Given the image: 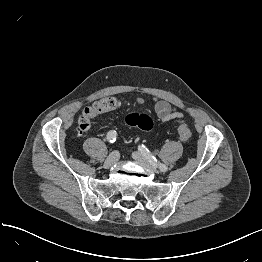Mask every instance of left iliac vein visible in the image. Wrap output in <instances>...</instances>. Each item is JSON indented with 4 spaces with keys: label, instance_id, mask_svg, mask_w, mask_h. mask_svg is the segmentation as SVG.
Here are the masks:
<instances>
[{
    "label": "left iliac vein",
    "instance_id": "1",
    "mask_svg": "<svg viewBox=\"0 0 262 262\" xmlns=\"http://www.w3.org/2000/svg\"><path fill=\"white\" fill-rule=\"evenodd\" d=\"M132 157L134 160H136L137 162L145 165L147 168H149L150 170L154 171V172H157L158 169L156 166L152 165L149 160L144 156L142 155L140 152H133L132 153Z\"/></svg>",
    "mask_w": 262,
    "mask_h": 262
}]
</instances>
